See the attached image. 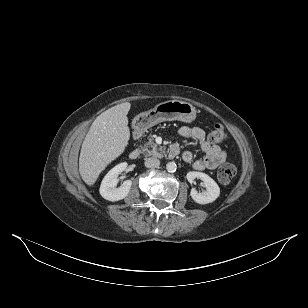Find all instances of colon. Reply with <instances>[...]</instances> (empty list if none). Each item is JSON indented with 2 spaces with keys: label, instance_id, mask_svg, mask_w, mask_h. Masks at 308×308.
I'll use <instances>...</instances> for the list:
<instances>
[{
  "label": "colon",
  "instance_id": "obj_1",
  "mask_svg": "<svg viewBox=\"0 0 308 308\" xmlns=\"http://www.w3.org/2000/svg\"><path fill=\"white\" fill-rule=\"evenodd\" d=\"M208 138L212 143H222L227 138V134L223 126L215 125L210 131ZM235 174L236 168L231 163H223L217 171V177L222 183L230 182Z\"/></svg>",
  "mask_w": 308,
  "mask_h": 308
}]
</instances>
